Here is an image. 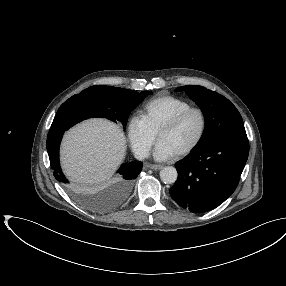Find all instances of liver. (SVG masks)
Instances as JSON below:
<instances>
[{
    "instance_id": "1",
    "label": "liver",
    "mask_w": 286,
    "mask_h": 286,
    "mask_svg": "<svg viewBox=\"0 0 286 286\" xmlns=\"http://www.w3.org/2000/svg\"><path fill=\"white\" fill-rule=\"evenodd\" d=\"M60 153L68 177L81 183H97L111 177L123 161L126 139L118 125L90 119L65 134Z\"/></svg>"
}]
</instances>
